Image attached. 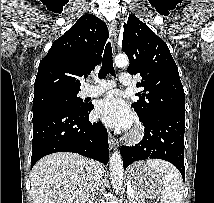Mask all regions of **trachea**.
Returning <instances> with one entry per match:
<instances>
[{
  "label": "trachea",
  "instance_id": "trachea-1",
  "mask_svg": "<svg viewBox=\"0 0 214 203\" xmlns=\"http://www.w3.org/2000/svg\"><path fill=\"white\" fill-rule=\"evenodd\" d=\"M112 59H113L112 47H111V43L108 42L106 44L104 55H103L102 67L98 74L99 78H103L106 74H111L112 76H115V70L113 67Z\"/></svg>",
  "mask_w": 214,
  "mask_h": 203
}]
</instances>
